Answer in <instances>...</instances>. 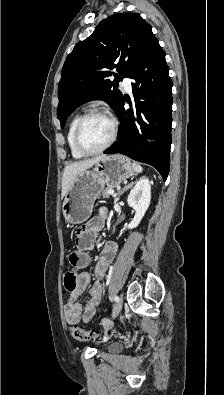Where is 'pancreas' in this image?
Masks as SVG:
<instances>
[{"instance_id": "cf45deb5", "label": "pancreas", "mask_w": 224, "mask_h": 395, "mask_svg": "<svg viewBox=\"0 0 224 395\" xmlns=\"http://www.w3.org/2000/svg\"><path fill=\"white\" fill-rule=\"evenodd\" d=\"M110 189H111V188H105V189L102 191L101 196H102L103 198H108V197H109L108 190H110Z\"/></svg>"}]
</instances>
